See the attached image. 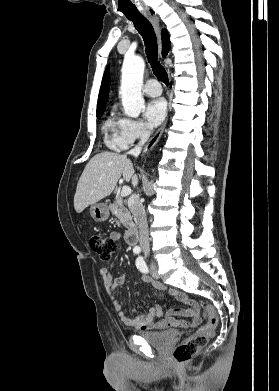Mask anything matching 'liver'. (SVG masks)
Here are the masks:
<instances>
[{"instance_id": "1", "label": "liver", "mask_w": 279, "mask_h": 391, "mask_svg": "<svg viewBox=\"0 0 279 391\" xmlns=\"http://www.w3.org/2000/svg\"><path fill=\"white\" fill-rule=\"evenodd\" d=\"M134 168L126 155L112 152L96 154L86 165L77 184L74 195V208L82 212L89 205L96 204L109 196L121 175L129 182Z\"/></svg>"}]
</instances>
